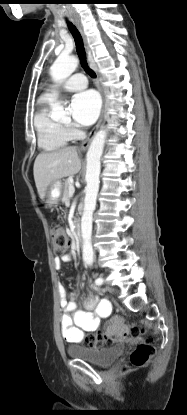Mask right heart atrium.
<instances>
[{"label": "right heart atrium", "instance_id": "obj_1", "mask_svg": "<svg viewBox=\"0 0 187 415\" xmlns=\"http://www.w3.org/2000/svg\"><path fill=\"white\" fill-rule=\"evenodd\" d=\"M66 130L68 131V133L70 134L71 137H75L79 133L78 129L75 126L71 125V124L66 126Z\"/></svg>", "mask_w": 187, "mask_h": 415}]
</instances>
